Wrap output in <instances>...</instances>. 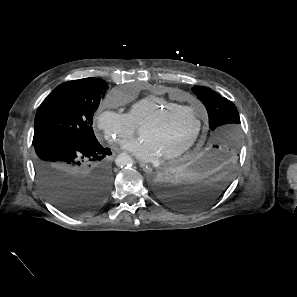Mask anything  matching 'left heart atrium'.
Listing matches in <instances>:
<instances>
[{"label":"left heart atrium","instance_id":"left-heart-atrium-1","mask_svg":"<svg viewBox=\"0 0 297 297\" xmlns=\"http://www.w3.org/2000/svg\"><path fill=\"white\" fill-rule=\"evenodd\" d=\"M124 149L143 162H154L161 157L157 146L151 139L146 137L127 142L124 145Z\"/></svg>","mask_w":297,"mask_h":297}]
</instances>
